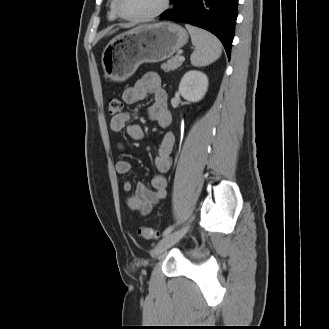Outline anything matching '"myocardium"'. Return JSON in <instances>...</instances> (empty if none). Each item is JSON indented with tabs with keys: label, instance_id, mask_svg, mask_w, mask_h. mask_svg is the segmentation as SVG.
Listing matches in <instances>:
<instances>
[{
	"label": "myocardium",
	"instance_id": "f54148a6",
	"mask_svg": "<svg viewBox=\"0 0 329 329\" xmlns=\"http://www.w3.org/2000/svg\"><path fill=\"white\" fill-rule=\"evenodd\" d=\"M170 1L171 0H163L161 7L151 14L143 15V16H127V15L123 14V12L121 11L120 0H115V11L120 18L127 20V21H131V22L149 21V20L155 19V18L161 16L163 13H165L170 6Z\"/></svg>",
	"mask_w": 329,
	"mask_h": 329
}]
</instances>
